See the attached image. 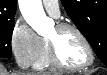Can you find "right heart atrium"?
<instances>
[{
  "label": "right heart atrium",
  "instance_id": "right-heart-atrium-1",
  "mask_svg": "<svg viewBox=\"0 0 107 75\" xmlns=\"http://www.w3.org/2000/svg\"><path fill=\"white\" fill-rule=\"evenodd\" d=\"M10 46L19 66L27 68L39 56L42 39L24 20L18 19L11 32Z\"/></svg>",
  "mask_w": 107,
  "mask_h": 75
}]
</instances>
